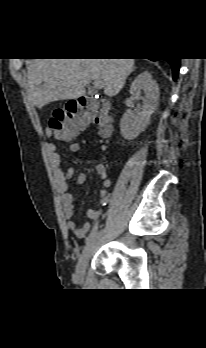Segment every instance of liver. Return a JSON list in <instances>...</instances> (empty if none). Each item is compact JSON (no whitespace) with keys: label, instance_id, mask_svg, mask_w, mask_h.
Wrapping results in <instances>:
<instances>
[{"label":"liver","instance_id":"obj_1","mask_svg":"<svg viewBox=\"0 0 206 348\" xmlns=\"http://www.w3.org/2000/svg\"><path fill=\"white\" fill-rule=\"evenodd\" d=\"M134 59H35L27 69L28 91L38 107L85 95L92 80L104 84L112 97L123 88L134 69Z\"/></svg>","mask_w":206,"mask_h":348}]
</instances>
